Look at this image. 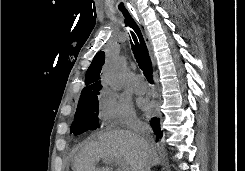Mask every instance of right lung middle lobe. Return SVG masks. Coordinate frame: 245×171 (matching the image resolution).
Wrapping results in <instances>:
<instances>
[{
	"mask_svg": "<svg viewBox=\"0 0 245 171\" xmlns=\"http://www.w3.org/2000/svg\"><path fill=\"white\" fill-rule=\"evenodd\" d=\"M97 128H99L97 95L80 99L70 132L79 135Z\"/></svg>",
	"mask_w": 245,
	"mask_h": 171,
	"instance_id": "dd1d6c3e",
	"label": "right lung middle lobe"
}]
</instances>
